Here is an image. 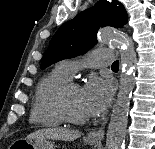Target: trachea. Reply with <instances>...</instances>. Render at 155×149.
I'll list each match as a JSON object with an SVG mask.
<instances>
[{"instance_id":"1","label":"trachea","mask_w":155,"mask_h":149,"mask_svg":"<svg viewBox=\"0 0 155 149\" xmlns=\"http://www.w3.org/2000/svg\"><path fill=\"white\" fill-rule=\"evenodd\" d=\"M112 69H118L119 68V61H115L112 66H111Z\"/></svg>"}]
</instances>
